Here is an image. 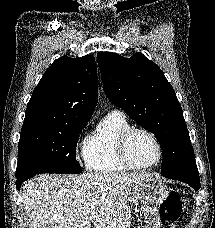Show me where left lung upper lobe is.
Masks as SVG:
<instances>
[{"label": "left lung upper lobe", "mask_w": 215, "mask_h": 228, "mask_svg": "<svg viewBox=\"0 0 215 228\" xmlns=\"http://www.w3.org/2000/svg\"><path fill=\"white\" fill-rule=\"evenodd\" d=\"M97 62L108 99L159 141L161 173L195 164L181 105L159 66L141 53L127 59L99 52Z\"/></svg>", "instance_id": "1"}]
</instances>
